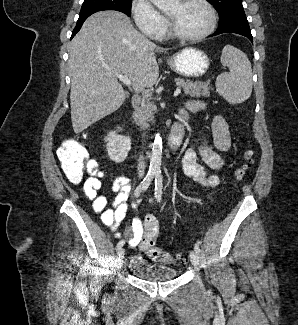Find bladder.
<instances>
[{
    "label": "bladder",
    "instance_id": "bladder-1",
    "mask_svg": "<svg viewBox=\"0 0 298 325\" xmlns=\"http://www.w3.org/2000/svg\"><path fill=\"white\" fill-rule=\"evenodd\" d=\"M130 272L146 282H167L177 277V271L170 266L152 263L141 255H134L129 261Z\"/></svg>",
    "mask_w": 298,
    "mask_h": 325
}]
</instances>
